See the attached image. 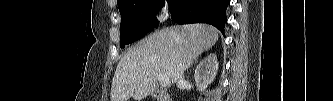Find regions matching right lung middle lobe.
<instances>
[{
  "instance_id": "obj_1",
  "label": "right lung middle lobe",
  "mask_w": 333,
  "mask_h": 101,
  "mask_svg": "<svg viewBox=\"0 0 333 101\" xmlns=\"http://www.w3.org/2000/svg\"><path fill=\"white\" fill-rule=\"evenodd\" d=\"M172 0H167L170 4ZM165 0H120L118 8L122 16L120 46L125 45L145 36L158 25L155 11Z\"/></svg>"
}]
</instances>
